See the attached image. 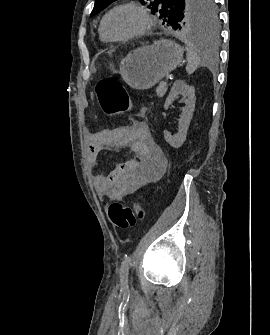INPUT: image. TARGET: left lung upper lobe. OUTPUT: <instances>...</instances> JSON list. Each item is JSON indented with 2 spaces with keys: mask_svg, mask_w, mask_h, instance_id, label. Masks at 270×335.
<instances>
[{
  "mask_svg": "<svg viewBox=\"0 0 270 335\" xmlns=\"http://www.w3.org/2000/svg\"><path fill=\"white\" fill-rule=\"evenodd\" d=\"M115 0H95L90 16L106 8ZM141 3H145L140 0ZM147 8L152 14L163 19V24L170 25L175 30L214 31L217 26L218 13L214 0H152Z\"/></svg>",
  "mask_w": 270,
  "mask_h": 335,
  "instance_id": "left-lung-upper-lobe-1",
  "label": "left lung upper lobe"
}]
</instances>
